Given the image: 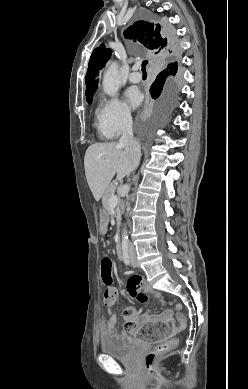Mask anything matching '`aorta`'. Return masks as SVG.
<instances>
[{
    "mask_svg": "<svg viewBox=\"0 0 248 389\" xmlns=\"http://www.w3.org/2000/svg\"><path fill=\"white\" fill-rule=\"evenodd\" d=\"M120 85L118 65L116 62H112L103 76V91L109 96H114L118 92ZM122 242L125 245L128 243V235L125 228L123 229Z\"/></svg>",
    "mask_w": 248,
    "mask_h": 389,
    "instance_id": "aorta-1",
    "label": "aorta"
}]
</instances>
